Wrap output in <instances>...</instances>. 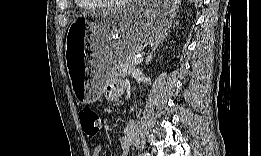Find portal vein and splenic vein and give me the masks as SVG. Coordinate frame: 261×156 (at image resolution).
Returning <instances> with one entry per match:
<instances>
[{
	"label": "portal vein and splenic vein",
	"mask_w": 261,
	"mask_h": 156,
	"mask_svg": "<svg viewBox=\"0 0 261 156\" xmlns=\"http://www.w3.org/2000/svg\"><path fill=\"white\" fill-rule=\"evenodd\" d=\"M143 61V58L142 57H134L131 64L132 65H136V64H139Z\"/></svg>",
	"instance_id": "18ae733b"
}]
</instances>
